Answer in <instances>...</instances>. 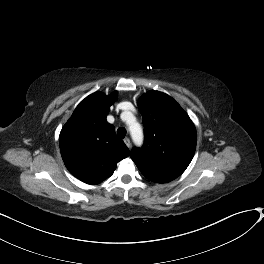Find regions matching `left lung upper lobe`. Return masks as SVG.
<instances>
[{
  "mask_svg": "<svg viewBox=\"0 0 264 264\" xmlns=\"http://www.w3.org/2000/svg\"><path fill=\"white\" fill-rule=\"evenodd\" d=\"M138 106L145 141L142 148L132 149L130 157L148 180L170 182L186 170L194 156L195 126L180 105L162 92L144 94Z\"/></svg>",
  "mask_w": 264,
  "mask_h": 264,
  "instance_id": "1",
  "label": "left lung upper lobe"
}]
</instances>
